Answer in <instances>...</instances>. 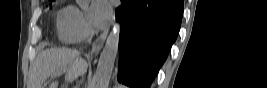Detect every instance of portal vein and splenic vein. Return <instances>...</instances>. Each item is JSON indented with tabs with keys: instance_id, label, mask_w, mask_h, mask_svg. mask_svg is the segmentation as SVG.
<instances>
[{
	"instance_id": "obj_1",
	"label": "portal vein and splenic vein",
	"mask_w": 267,
	"mask_h": 88,
	"mask_svg": "<svg viewBox=\"0 0 267 88\" xmlns=\"http://www.w3.org/2000/svg\"><path fill=\"white\" fill-rule=\"evenodd\" d=\"M61 73H60V71H58V72H56L55 74H54V76L56 77V76H59Z\"/></svg>"
}]
</instances>
